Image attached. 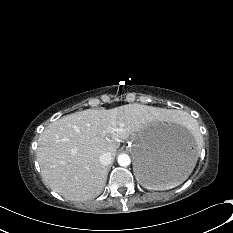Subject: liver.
I'll list each match as a JSON object with an SVG mask.
<instances>
[{
	"label": "liver",
	"mask_w": 233,
	"mask_h": 233,
	"mask_svg": "<svg viewBox=\"0 0 233 233\" xmlns=\"http://www.w3.org/2000/svg\"><path fill=\"white\" fill-rule=\"evenodd\" d=\"M179 112L141 104L87 109L49 124L38 139L37 160L45 184L67 200L85 201L103 190L108 169L101 154L112 157L120 141L145 125L170 122Z\"/></svg>",
	"instance_id": "obj_1"
}]
</instances>
